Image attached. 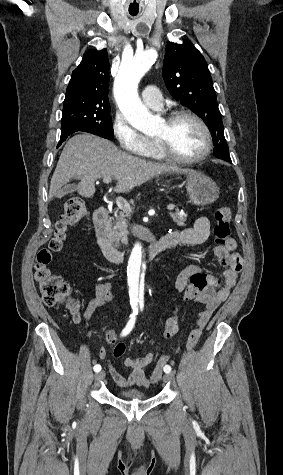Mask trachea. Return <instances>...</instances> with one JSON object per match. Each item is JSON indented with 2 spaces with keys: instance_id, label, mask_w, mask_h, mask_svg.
<instances>
[{
  "instance_id": "trachea-1",
  "label": "trachea",
  "mask_w": 283,
  "mask_h": 475,
  "mask_svg": "<svg viewBox=\"0 0 283 475\" xmlns=\"http://www.w3.org/2000/svg\"><path fill=\"white\" fill-rule=\"evenodd\" d=\"M137 14H138V12H137V13H130V15H133V16H135V15H137Z\"/></svg>"
}]
</instances>
